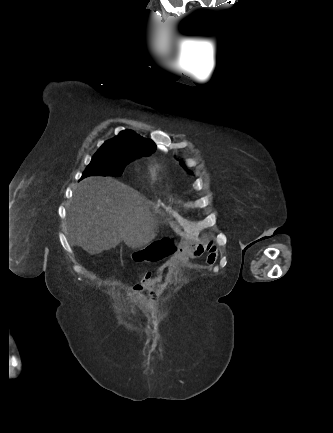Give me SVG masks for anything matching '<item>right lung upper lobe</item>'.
I'll list each match as a JSON object with an SVG mask.
<instances>
[{
    "mask_svg": "<svg viewBox=\"0 0 333 433\" xmlns=\"http://www.w3.org/2000/svg\"><path fill=\"white\" fill-rule=\"evenodd\" d=\"M100 149L114 154H127L140 158L154 152L156 145L152 140L145 139L131 130H124L116 137L106 141Z\"/></svg>",
    "mask_w": 333,
    "mask_h": 433,
    "instance_id": "cb5924a9",
    "label": "right lung upper lobe"
}]
</instances>
